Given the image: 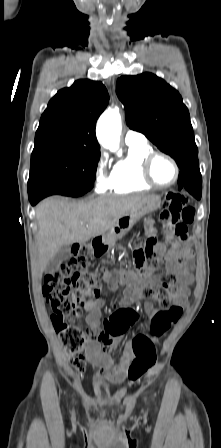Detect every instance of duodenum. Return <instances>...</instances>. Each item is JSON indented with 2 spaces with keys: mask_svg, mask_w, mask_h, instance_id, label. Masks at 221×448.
<instances>
[{
  "mask_svg": "<svg viewBox=\"0 0 221 448\" xmlns=\"http://www.w3.org/2000/svg\"><path fill=\"white\" fill-rule=\"evenodd\" d=\"M109 247L108 241L105 237L98 236L92 241V251L96 257L103 256Z\"/></svg>",
  "mask_w": 221,
  "mask_h": 448,
  "instance_id": "obj_1",
  "label": "duodenum"
}]
</instances>
